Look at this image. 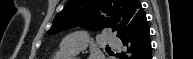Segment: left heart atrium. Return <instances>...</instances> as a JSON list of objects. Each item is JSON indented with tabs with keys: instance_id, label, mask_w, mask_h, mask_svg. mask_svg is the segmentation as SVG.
<instances>
[{
	"instance_id": "left-heart-atrium-1",
	"label": "left heart atrium",
	"mask_w": 193,
	"mask_h": 59,
	"mask_svg": "<svg viewBox=\"0 0 193 59\" xmlns=\"http://www.w3.org/2000/svg\"><path fill=\"white\" fill-rule=\"evenodd\" d=\"M90 59H97L95 56H93L92 58H90Z\"/></svg>"
}]
</instances>
